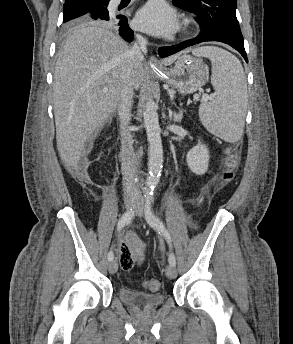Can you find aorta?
Instances as JSON below:
<instances>
[{"label":"aorta","instance_id":"1","mask_svg":"<svg viewBox=\"0 0 293 344\" xmlns=\"http://www.w3.org/2000/svg\"><path fill=\"white\" fill-rule=\"evenodd\" d=\"M144 126L146 129L147 140L149 143V171L147 179L146 194H151L159 182V175L163 163V147L161 140V129L155 102L149 98L143 111Z\"/></svg>","mask_w":293,"mask_h":344}]
</instances>
